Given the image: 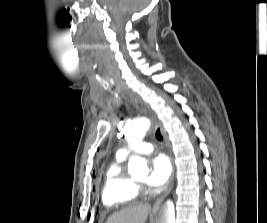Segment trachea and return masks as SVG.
<instances>
[{
    "mask_svg": "<svg viewBox=\"0 0 267 223\" xmlns=\"http://www.w3.org/2000/svg\"><path fill=\"white\" fill-rule=\"evenodd\" d=\"M155 135H156L157 140H159V141L163 140V136H162L161 131H160L159 128L156 130Z\"/></svg>",
    "mask_w": 267,
    "mask_h": 223,
    "instance_id": "obj_1",
    "label": "trachea"
}]
</instances>
